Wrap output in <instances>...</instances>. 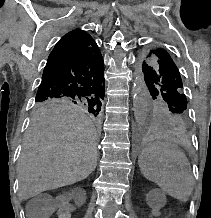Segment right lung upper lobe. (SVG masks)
<instances>
[{
    "mask_svg": "<svg viewBox=\"0 0 211 218\" xmlns=\"http://www.w3.org/2000/svg\"><path fill=\"white\" fill-rule=\"evenodd\" d=\"M99 53L100 50L97 44L88 33L83 30H73L64 35L55 45L49 55L44 71Z\"/></svg>",
    "mask_w": 211,
    "mask_h": 218,
    "instance_id": "1",
    "label": "right lung upper lobe"
}]
</instances>
